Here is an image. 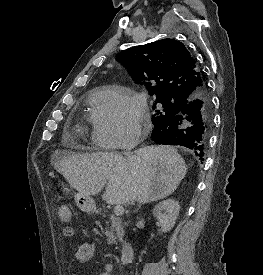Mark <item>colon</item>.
I'll list each match as a JSON object with an SVG mask.
<instances>
[{"label": "colon", "instance_id": "obj_1", "mask_svg": "<svg viewBox=\"0 0 263 275\" xmlns=\"http://www.w3.org/2000/svg\"><path fill=\"white\" fill-rule=\"evenodd\" d=\"M58 217L62 222H69L71 220V209L67 205H61L58 208Z\"/></svg>", "mask_w": 263, "mask_h": 275}]
</instances>
